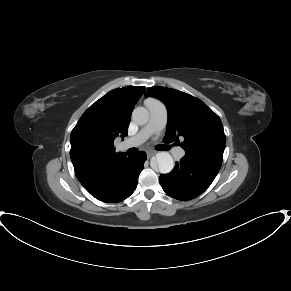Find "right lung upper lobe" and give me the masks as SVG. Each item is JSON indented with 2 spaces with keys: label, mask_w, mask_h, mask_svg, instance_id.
<instances>
[{
  "label": "right lung upper lobe",
  "mask_w": 291,
  "mask_h": 291,
  "mask_svg": "<svg viewBox=\"0 0 291 291\" xmlns=\"http://www.w3.org/2000/svg\"><path fill=\"white\" fill-rule=\"evenodd\" d=\"M143 86L114 89L90 106L71 132L70 157L74 169L111 161L125 153H116L113 141L127 136L136 102Z\"/></svg>",
  "instance_id": "cb5924a9"
}]
</instances>
